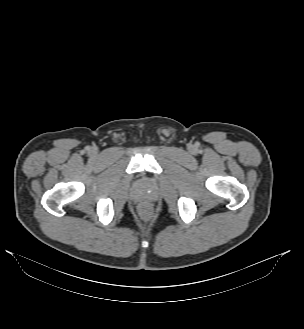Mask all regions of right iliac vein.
<instances>
[{
  "mask_svg": "<svg viewBox=\"0 0 304 329\" xmlns=\"http://www.w3.org/2000/svg\"><path fill=\"white\" fill-rule=\"evenodd\" d=\"M90 154L91 155H96L97 154V149H95V148H92L91 150H90Z\"/></svg>",
  "mask_w": 304,
  "mask_h": 329,
  "instance_id": "63e3f726",
  "label": "right iliac vein"
}]
</instances>
